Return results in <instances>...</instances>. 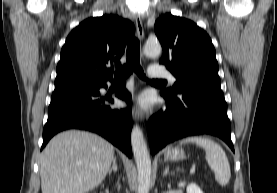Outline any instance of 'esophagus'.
Listing matches in <instances>:
<instances>
[{
	"mask_svg": "<svg viewBox=\"0 0 277 193\" xmlns=\"http://www.w3.org/2000/svg\"><path fill=\"white\" fill-rule=\"evenodd\" d=\"M135 24H136L137 35L139 39L142 40L144 38V27L142 24V20L139 16L135 17ZM133 118L135 120L143 121L145 118L143 111L140 110L139 108H135L133 110Z\"/></svg>",
	"mask_w": 277,
	"mask_h": 193,
	"instance_id": "obj_1",
	"label": "esophagus"
}]
</instances>
